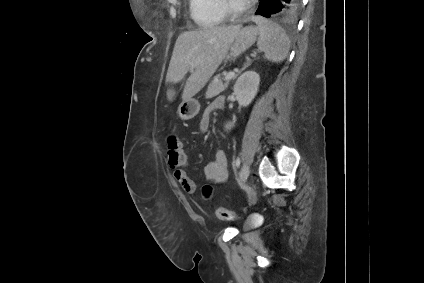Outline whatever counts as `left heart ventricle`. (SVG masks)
<instances>
[{"label": "left heart ventricle", "instance_id": "left-heart-ventricle-1", "mask_svg": "<svg viewBox=\"0 0 424 283\" xmlns=\"http://www.w3.org/2000/svg\"><path fill=\"white\" fill-rule=\"evenodd\" d=\"M231 1V3H232V5L233 6H235V7H241V6H243L244 4H241V3H239L238 1H236V0H230Z\"/></svg>", "mask_w": 424, "mask_h": 283}]
</instances>
